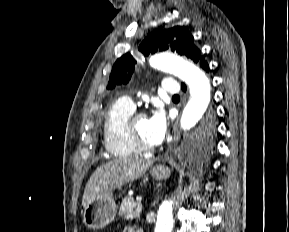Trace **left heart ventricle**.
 <instances>
[{
  "mask_svg": "<svg viewBox=\"0 0 289 232\" xmlns=\"http://www.w3.org/2000/svg\"><path fill=\"white\" fill-rule=\"evenodd\" d=\"M133 129L137 135V137L147 145H154L148 134V125L146 117H139L133 124Z\"/></svg>",
  "mask_w": 289,
  "mask_h": 232,
  "instance_id": "obj_1",
  "label": "left heart ventricle"
}]
</instances>
